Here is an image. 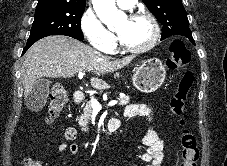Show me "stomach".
Instances as JSON below:
<instances>
[{"instance_id":"1","label":"stomach","mask_w":227,"mask_h":166,"mask_svg":"<svg viewBox=\"0 0 227 166\" xmlns=\"http://www.w3.org/2000/svg\"><path fill=\"white\" fill-rule=\"evenodd\" d=\"M166 69L157 58L143 61L132 77L133 85L143 93L156 91L164 82Z\"/></svg>"}]
</instances>
